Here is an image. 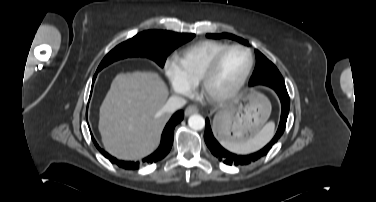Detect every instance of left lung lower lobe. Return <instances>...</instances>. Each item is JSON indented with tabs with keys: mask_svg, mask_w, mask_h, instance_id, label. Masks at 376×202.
<instances>
[{
	"mask_svg": "<svg viewBox=\"0 0 376 202\" xmlns=\"http://www.w3.org/2000/svg\"><path fill=\"white\" fill-rule=\"evenodd\" d=\"M273 89L276 91L281 101L282 112L280 124L273 139L263 149L256 153L250 155H236L225 150L214 138L209 120L206 119V127L204 133L205 143L210 149L211 153L214 156H216L220 161L224 162L227 165L234 164L236 166L246 165L255 162L263 156H265L269 152L273 144H275L278 141V139L282 136L285 130L286 121L289 113L290 99L286 89L280 87H274Z\"/></svg>",
	"mask_w": 376,
	"mask_h": 202,
	"instance_id": "0a47b994",
	"label": "left lung lower lobe"
}]
</instances>
